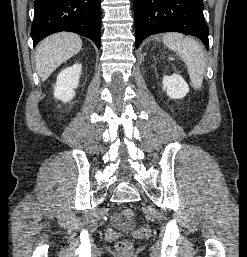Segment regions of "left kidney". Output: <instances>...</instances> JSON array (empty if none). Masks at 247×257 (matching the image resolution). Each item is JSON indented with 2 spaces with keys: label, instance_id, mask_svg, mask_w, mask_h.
<instances>
[{
  "label": "left kidney",
  "instance_id": "5707ae66",
  "mask_svg": "<svg viewBox=\"0 0 247 257\" xmlns=\"http://www.w3.org/2000/svg\"><path fill=\"white\" fill-rule=\"evenodd\" d=\"M163 90L172 99H181L189 92V86L184 79L177 74L163 77Z\"/></svg>",
  "mask_w": 247,
  "mask_h": 257
}]
</instances>
